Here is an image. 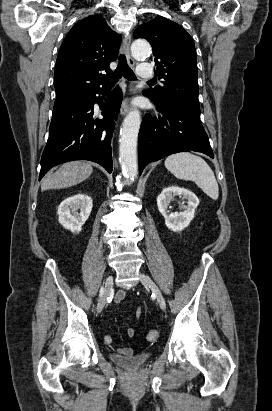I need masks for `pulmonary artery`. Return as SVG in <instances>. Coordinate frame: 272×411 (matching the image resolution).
I'll list each match as a JSON object with an SVG mask.
<instances>
[{"instance_id":"obj_1","label":"pulmonary artery","mask_w":272,"mask_h":411,"mask_svg":"<svg viewBox=\"0 0 272 411\" xmlns=\"http://www.w3.org/2000/svg\"><path fill=\"white\" fill-rule=\"evenodd\" d=\"M138 76L142 79H150L153 77L152 67L149 63H141L138 67Z\"/></svg>"}]
</instances>
